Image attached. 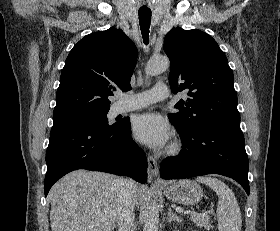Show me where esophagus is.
Listing matches in <instances>:
<instances>
[{"mask_svg":"<svg viewBox=\"0 0 280 231\" xmlns=\"http://www.w3.org/2000/svg\"><path fill=\"white\" fill-rule=\"evenodd\" d=\"M148 162V173L151 178L157 179L159 173V167L157 161L153 158L152 155H147Z\"/></svg>","mask_w":280,"mask_h":231,"instance_id":"1","label":"esophagus"}]
</instances>
